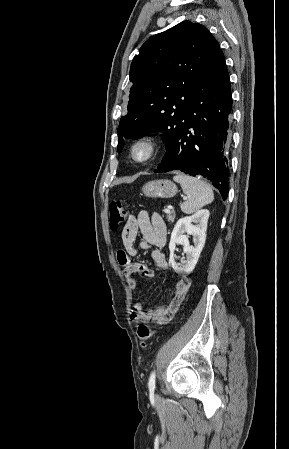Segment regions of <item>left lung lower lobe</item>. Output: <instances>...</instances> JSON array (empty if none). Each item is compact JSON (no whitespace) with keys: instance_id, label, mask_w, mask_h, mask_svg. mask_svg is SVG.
Segmentation results:
<instances>
[{"instance_id":"left-lung-lower-lobe-1","label":"left lung lower lobe","mask_w":289,"mask_h":449,"mask_svg":"<svg viewBox=\"0 0 289 449\" xmlns=\"http://www.w3.org/2000/svg\"><path fill=\"white\" fill-rule=\"evenodd\" d=\"M232 95L225 57L219 49L194 89L188 108L155 173L180 170L212 181L227 198L229 122Z\"/></svg>"}]
</instances>
